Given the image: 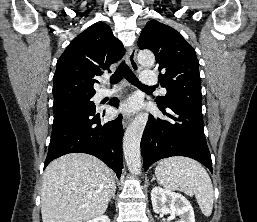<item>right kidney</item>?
<instances>
[{"label":"right kidney","instance_id":"right-kidney-1","mask_svg":"<svg viewBox=\"0 0 257 222\" xmlns=\"http://www.w3.org/2000/svg\"><path fill=\"white\" fill-rule=\"evenodd\" d=\"M87 222H110V219L108 216L102 215V216L96 217L92 220H89Z\"/></svg>","mask_w":257,"mask_h":222}]
</instances>
